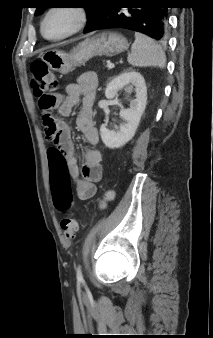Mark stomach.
<instances>
[{
    "label": "stomach",
    "mask_w": 213,
    "mask_h": 338,
    "mask_svg": "<svg viewBox=\"0 0 213 338\" xmlns=\"http://www.w3.org/2000/svg\"><path fill=\"white\" fill-rule=\"evenodd\" d=\"M128 46L123 35L104 31L87 37L69 54L60 50H49L42 55V59L53 71L67 74L94 56L112 57L126 51Z\"/></svg>",
    "instance_id": "1"
}]
</instances>
